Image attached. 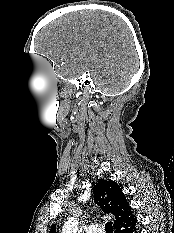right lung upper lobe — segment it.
<instances>
[{"label":"right lung upper lobe","mask_w":174,"mask_h":233,"mask_svg":"<svg viewBox=\"0 0 174 233\" xmlns=\"http://www.w3.org/2000/svg\"><path fill=\"white\" fill-rule=\"evenodd\" d=\"M94 202L104 213L114 215L115 233H123L126 229L136 224L137 219L132 214L131 207L126 200L119 185L112 180H100L94 187ZM53 225L49 233H55Z\"/></svg>","instance_id":"obj_1"}]
</instances>
